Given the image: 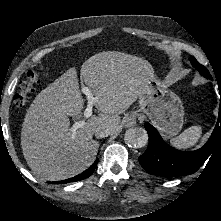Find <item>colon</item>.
<instances>
[{"instance_id": "obj_1", "label": "colon", "mask_w": 221, "mask_h": 221, "mask_svg": "<svg viewBox=\"0 0 221 221\" xmlns=\"http://www.w3.org/2000/svg\"><path fill=\"white\" fill-rule=\"evenodd\" d=\"M44 75L45 71L43 68H38L28 74L27 78L20 84L19 92L14 100L17 107L22 108L27 105L31 95L35 92L36 86L41 82Z\"/></svg>"}]
</instances>
